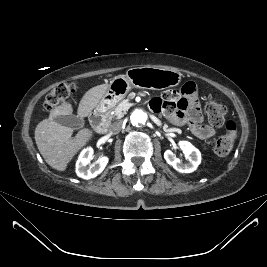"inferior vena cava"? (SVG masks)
<instances>
[{"label": "inferior vena cava", "mask_w": 267, "mask_h": 267, "mask_svg": "<svg viewBox=\"0 0 267 267\" xmlns=\"http://www.w3.org/2000/svg\"><path fill=\"white\" fill-rule=\"evenodd\" d=\"M122 125H123V122L121 120L116 121V122L111 124L110 131L114 134L119 133L122 129Z\"/></svg>", "instance_id": "inferior-vena-cava-1"}]
</instances>
